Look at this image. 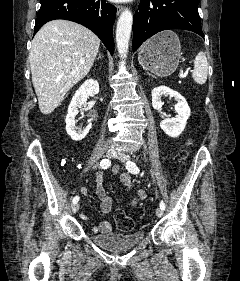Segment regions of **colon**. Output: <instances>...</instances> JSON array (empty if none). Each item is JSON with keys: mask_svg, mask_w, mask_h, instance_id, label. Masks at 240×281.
I'll use <instances>...</instances> for the list:
<instances>
[{"mask_svg": "<svg viewBox=\"0 0 240 281\" xmlns=\"http://www.w3.org/2000/svg\"><path fill=\"white\" fill-rule=\"evenodd\" d=\"M186 155L187 153L185 150L181 151V158H185ZM114 217H115L116 225L121 231L127 232L133 228L132 219L127 214H125V212L122 211L121 209H118L115 212Z\"/></svg>", "mask_w": 240, "mask_h": 281, "instance_id": "1", "label": "colon"}]
</instances>
